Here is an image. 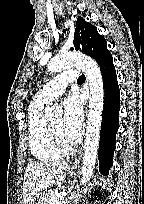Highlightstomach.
Wrapping results in <instances>:
<instances>
[{"instance_id":"1","label":"stomach","mask_w":144,"mask_h":204,"mask_svg":"<svg viewBox=\"0 0 144 204\" xmlns=\"http://www.w3.org/2000/svg\"><path fill=\"white\" fill-rule=\"evenodd\" d=\"M75 173V171L71 168L68 169V174L73 175ZM40 203V199L35 203V204H39Z\"/></svg>"}]
</instances>
